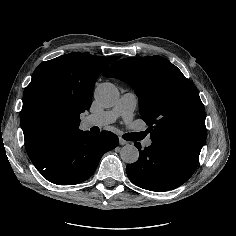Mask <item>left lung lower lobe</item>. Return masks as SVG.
Returning a JSON list of instances; mask_svg holds the SVG:
<instances>
[{
	"label": "left lung lower lobe",
	"mask_w": 236,
	"mask_h": 236,
	"mask_svg": "<svg viewBox=\"0 0 236 236\" xmlns=\"http://www.w3.org/2000/svg\"><path fill=\"white\" fill-rule=\"evenodd\" d=\"M139 150V159L126 167L129 179L137 186L151 191H168L185 183L194 173L199 154L174 143L152 139L149 147Z\"/></svg>",
	"instance_id": "left-lung-lower-lobe-1"
}]
</instances>
